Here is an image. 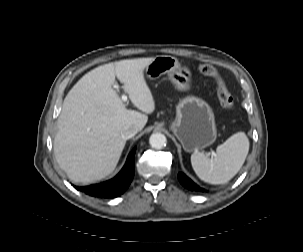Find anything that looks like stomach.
Here are the masks:
<instances>
[{"label": "stomach", "mask_w": 303, "mask_h": 252, "mask_svg": "<svg viewBox=\"0 0 303 252\" xmlns=\"http://www.w3.org/2000/svg\"><path fill=\"white\" fill-rule=\"evenodd\" d=\"M145 74L150 79H157L167 74L178 90L190 87L191 71L181 67L177 58L161 55L146 67ZM170 129L187 152L201 150L213 144L217 137L215 118L212 108L204 100L187 96L176 107V118Z\"/></svg>", "instance_id": "obj_1"}]
</instances>
